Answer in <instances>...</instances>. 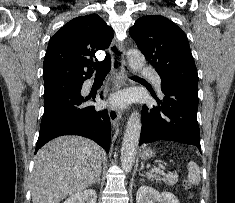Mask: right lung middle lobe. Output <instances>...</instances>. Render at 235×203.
I'll list each match as a JSON object with an SVG mask.
<instances>
[{
	"instance_id": "dd1d6c3e",
	"label": "right lung middle lobe",
	"mask_w": 235,
	"mask_h": 203,
	"mask_svg": "<svg viewBox=\"0 0 235 203\" xmlns=\"http://www.w3.org/2000/svg\"><path fill=\"white\" fill-rule=\"evenodd\" d=\"M80 84L81 83L64 82V83H58V84L45 86L44 101L52 99L63 93H66L70 91L71 89L77 88L80 86Z\"/></svg>"
}]
</instances>
